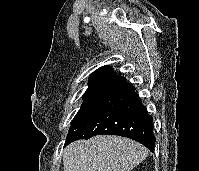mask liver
<instances>
[{
	"label": "liver",
	"instance_id": "obj_1",
	"mask_svg": "<svg viewBox=\"0 0 199 171\" xmlns=\"http://www.w3.org/2000/svg\"><path fill=\"white\" fill-rule=\"evenodd\" d=\"M148 155L140 143L120 136H95L67 146L64 171H131Z\"/></svg>",
	"mask_w": 199,
	"mask_h": 171
}]
</instances>
